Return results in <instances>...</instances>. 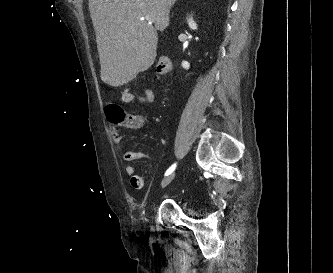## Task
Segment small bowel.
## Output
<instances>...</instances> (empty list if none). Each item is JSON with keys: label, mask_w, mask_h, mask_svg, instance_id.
I'll use <instances>...</instances> for the list:
<instances>
[{"label": "small bowel", "mask_w": 333, "mask_h": 273, "mask_svg": "<svg viewBox=\"0 0 333 273\" xmlns=\"http://www.w3.org/2000/svg\"><path fill=\"white\" fill-rule=\"evenodd\" d=\"M154 101V93L150 88H147L142 94L137 92L123 93L120 102L122 104H129L132 102H141L144 104H151ZM126 126L130 129H140L145 126V119L143 116H132L130 121L126 123ZM112 139L119 150L123 149L122 136L117 128L111 126ZM123 159L127 162H134L137 160H150L151 157L148 153L142 151H123ZM125 172L130 176L131 185L135 189H142L144 182L142 177L136 175L134 165L128 164L125 167Z\"/></svg>", "instance_id": "c3829d8e"}]
</instances>
